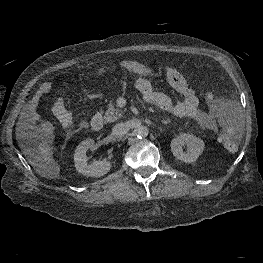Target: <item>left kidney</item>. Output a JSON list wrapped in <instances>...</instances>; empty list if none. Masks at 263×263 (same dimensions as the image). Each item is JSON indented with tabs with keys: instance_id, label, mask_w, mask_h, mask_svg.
<instances>
[{
	"instance_id": "left-kidney-1",
	"label": "left kidney",
	"mask_w": 263,
	"mask_h": 263,
	"mask_svg": "<svg viewBox=\"0 0 263 263\" xmlns=\"http://www.w3.org/2000/svg\"><path fill=\"white\" fill-rule=\"evenodd\" d=\"M186 146V151L183 147ZM204 142L191 134L183 133L171 141V151L173 155L186 163H193L202 154Z\"/></svg>"
}]
</instances>
